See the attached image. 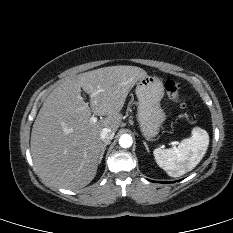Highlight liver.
<instances>
[{
    "instance_id": "6515ba94",
    "label": "liver",
    "mask_w": 233,
    "mask_h": 233,
    "mask_svg": "<svg viewBox=\"0 0 233 233\" xmlns=\"http://www.w3.org/2000/svg\"><path fill=\"white\" fill-rule=\"evenodd\" d=\"M147 73L136 66H110L65 78L44 101L31 132V155L48 184L77 190L95 177L103 142L100 132L114 133L133 86ZM81 89L90 95L85 102ZM105 116L96 122L91 115Z\"/></svg>"
}]
</instances>
